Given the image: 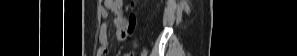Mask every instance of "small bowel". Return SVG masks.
Segmentation results:
<instances>
[{
  "label": "small bowel",
  "mask_w": 297,
  "mask_h": 56,
  "mask_svg": "<svg viewBox=\"0 0 297 56\" xmlns=\"http://www.w3.org/2000/svg\"><path fill=\"white\" fill-rule=\"evenodd\" d=\"M111 13L113 16V24L116 29V39L117 41L125 40L129 34L133 31L135 21L133 18L128 20L122 14L120 10L119 3L114 0H105L104 9L102 10V15L107 16ZM99 44L98 56H106L109 53V39H108V25L103 23L99 34Z\"/></svg>",
  "instance_id": "obj_1"
}]
</instances>
